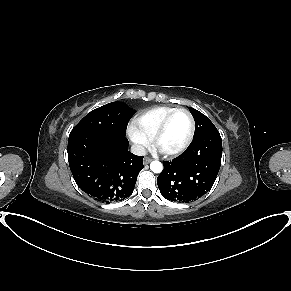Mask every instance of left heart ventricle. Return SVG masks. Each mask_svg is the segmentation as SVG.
Here are the masks:
<instances>
[{
    "instance_id": "1",
    "label": "left heart ventricle",
    "mask_w": 291,
    "mask_h": 291,
    "mask_svg": "<svg viewBox=\"0 0 291 291\" xmlns=\"http://www.w3.org/2000/svg\"><path fill=\"white\" fill-rule=\"evenodd\" d=\"M190 130V120L187 114H175L168 127L160 139L159 147L165 151H171L179 148L186 141Z\"/></svg>"
}]
</instances>
